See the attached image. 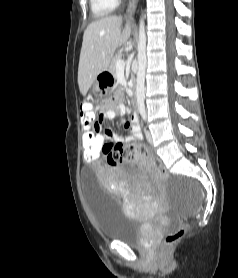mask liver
<instances>
[{"mask_svg":"<svg viewBox=\"0 0 238 278\" xmlns=\"http://www.w3.org/2000/svg\"><path fill=\"white\" fill-rule=\"evenodd\" d=\"M121 26V17L109 16L93 21L85 30L78 66V85L83 96L97 76L108 69L115 50L130 38V23L122 32Z\"/></svg>","mask_w":238,"mask_h":278,"instance_id":"6515ba94","label":"liver"}]
</instances>
